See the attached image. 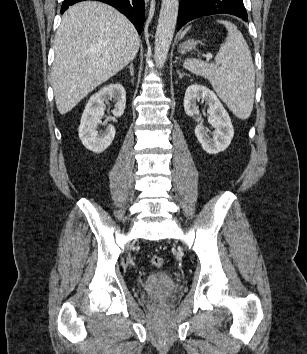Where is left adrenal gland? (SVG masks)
I'll use <instances>...</instances> for the list:
<instances>
[{
    "label": "left adrenal gland",
    "mask_w": 307,
    "mask_h": 354,
    "mask_svg": "<svg viewBox=\"0 0 307 354\" xmlns=\"http://www.w3.org/2000/svg\"><path fill=\"white\" fill-rule=\"evenodd\" d=\"M177 73L179 75V79H182L184 76H189V75H187L185 73H181L179 70H177Z\"/></svg>",
    "instance_id": "left-adrenal-gland-1"
}]
</instances>
